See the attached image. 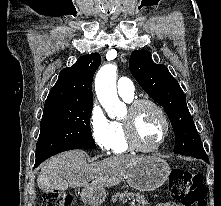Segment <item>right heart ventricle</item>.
Segmentation results:
<instances>
[{
  "label": "right heart ventricle",
  "mask_w": 221,
  "mask_h": 206,
  "mask_svg": "<svg viewBox=\"0 0 221 206\" xmlns=\"http://www.w3.org/2000/svg\"><path fill=\"white\" fill-rule=\"evenodd\" d=\"M126 102H131L132 99L123 98ZM114 154H123L131 150L124 130L122 121L112 122V140L111 148Z\"/></svg>",
  "instance_id": "e07e8e85"
}]
</instances>
